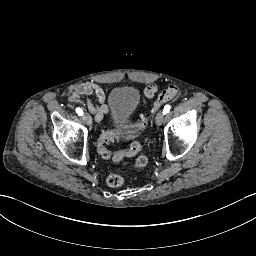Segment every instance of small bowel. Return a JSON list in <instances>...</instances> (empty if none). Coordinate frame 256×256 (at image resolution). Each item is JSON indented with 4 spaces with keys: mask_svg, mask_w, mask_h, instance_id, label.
I'll return each mask as SVG.
<instances>
[{
    "mask_svg": "<svg viewBox=\"0 0 256 256\" xmlns=\"http://www.w3.org/2000/svg\"><path fill=\"white\" fill-rule=\"evenodd\" d=\"M158 91V87L155 84H150L144 90V94L148 98H152ZM95 97V100H91L90 97ZM86 99L87 106L90 112L95 116L96 121H101L102 118L109 114L110 109L105 103L106 93L104 89L94 82H85L77 85L72 93L68 97V101L73 104L81 105Z\"/></svg>",
    "mask_w": 256,
    "mask_h": 256,
    "instance_id": "obj_1",
    "label": "small bowel"
}]
</instances>
